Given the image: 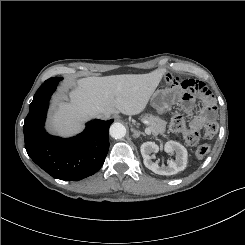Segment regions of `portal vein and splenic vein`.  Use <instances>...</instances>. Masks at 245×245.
I'll list each match as a JSON object with an SVG mask.
<instances>
[{
    "label": "portal vein and splenic vein",
    "instance_id": "1",
    "mask_svg": "<svg viewBox=\"0 0 245 245\" xmlns=\"http://www.w3.org/2000/svg\"><path fill=\"white\" fill-rule=\"evenodd\" d=\"M145 133H146L147 135H150V134H151V130L147 127V128H145Z\"/></svg>",
    "mask_w": 245,
    "mask_h": 245
}]
</instances>
